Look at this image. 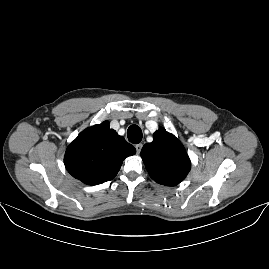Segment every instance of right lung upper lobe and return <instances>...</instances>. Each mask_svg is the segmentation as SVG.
Returning a JSON list of instances; mask_svg holds the SVG:
<instances>
[{
	"instance_id": "cb5924a9",
	"label": "right lung upper lobe",
	"mask_w": 269,
	"mask_h": 269,
	"mask_svg": "<svg viewBox=\"0 0 269 269\" xmlns=\"http://www.w3.org/2000/svg\"><path fill=\"white\" fill-rule=\"evenodd\" d=\"M135 153L134 146L104 121L84 130L68 146L64 163L74 178L97 185L113 179L124 159Z\"/></svg>"
}]
</instances>
